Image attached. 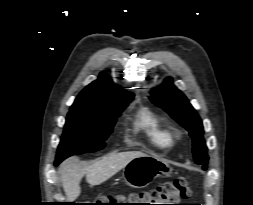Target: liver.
Instances as JSON below:
<instances>
[{"mask_svg":"<svg viewBox=\"0 0 253 205\" xmlns=\"http://www.w3.org/2000/svg\"><path fill=\"white\" fill-rule=\"evenodd\" d=\"M144 155L139 151L115 153L89 166H82L73 158L65 160L60 166V174L67 200L72 202L80 195V181L84 175L90 185L96 186L123 169L134 158Z\"/></svg>","mask_w":253,"mask_h":205,"instance_id":"obj_1","label":"liver"}]
</instances>
